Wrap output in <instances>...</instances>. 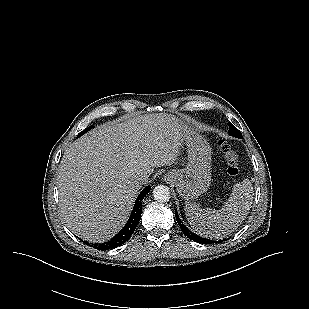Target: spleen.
Returning <instances> with one entry per match:
<instances>
[{
	"label": "spleen",
	"instance_id": "spleen-1",
	"mask_svg": "<svg viewBox=\"0 0 309 309\" xmlns=\"http://www.w3.org/2000/svg\"><path fill=\"white\" fill-rule=\"evenodd\" d=\"M253 192L250 180L244 179L233 186L230 197L220 210L186 203L187 220L198 235L221 239L236 230L246 219L252 206Z\"/></svg>",
	"mask_w": 309,
	"mask_h": 309
}]
</instances>
